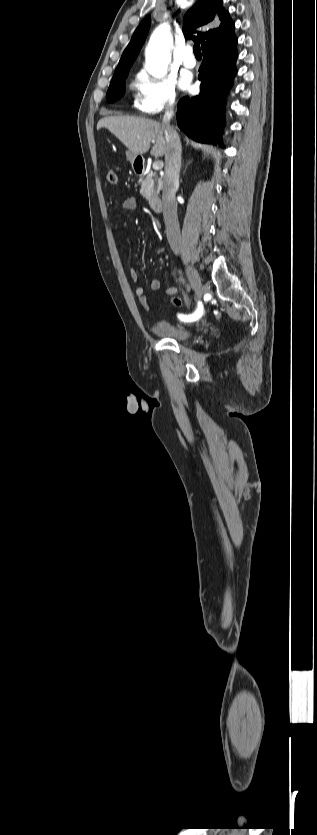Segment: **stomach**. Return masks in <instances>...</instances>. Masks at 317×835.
Wrapping results in <instances>:
<instances>
[{
  "mask_svg": "<svg viewBox=\"0 0 317 835\" xmlns=\"http://www.w3.org/2000/svg\"><path fill=\"white\" fill-rule=\"evenodd\" d=\"M126 156H127V159L131 162L132 165L135 163V161L137 159H139L141 157L139 155L133 154L131 151H127Z\"/></svg>",
  "mask_w": 317,
  "mask_h": 835,
  "instance_id": "stomach-1",
  "label": "stomach"
}]
</instances>
